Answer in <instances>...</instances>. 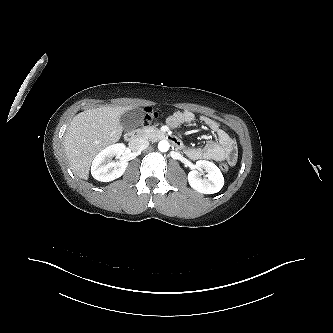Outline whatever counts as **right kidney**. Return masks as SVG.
Instances as JSON below:
<instances>
[{"instance_id": "ca27d5eb", "label": "right kidney", "mask_w": 333, "mask_h": 333, "mask_svg": "<svg viewBox=\"0 0 333 333\" xmlns=\"http://www.w3.org/2000/svg\"><path fill=\"white\" fill-rule=\"evenodd\" d=\"M124 151L125 145L123 143H117L106 147L98 153L91 166V174L93 178L100 182H110L121 177L124 174L128 163L121 160L112 162L110 159L113 156H122Z\"/></svg>"}]
</instances>
